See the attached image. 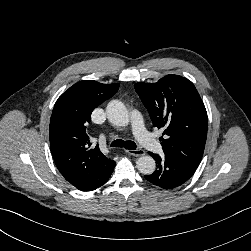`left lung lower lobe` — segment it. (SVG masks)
Here are the masks:
<instances>
[{"label": "left lung lower lobe", "mask_w": 251, "mask_h": 251, "mask_svg": "<svg viewBox=\"0 0 251 251\" xmlns=\"http://www.w3.org/2000/svg\"><path fill=\"white\" fill-rule=\"evenodd\" d=\"M149 154L156 160V170L145 178L152 184L163 189H173L184 184L194 174L196 167L183 160L170 156L160 157L158 154Z\"/></svg>", "instance_id": "obj_1"}]
</instances>
